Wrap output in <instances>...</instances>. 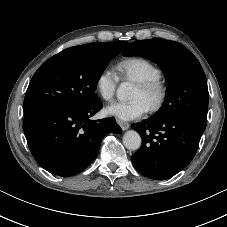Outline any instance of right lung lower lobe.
Wrapping results in <instances>:
<instances>
[{"label":"right lung lower lobe","mask_w":227,"mask_h":227,"mask_svg":"<svg viewBox=\"0 0 227 227\" xmlns=\"http://www.w3.org/2000/svg\"><path fill=\"white\" fill-rule=\"evenodd\" d=\"M101 108L99 99L87 106L49 107L25 115L23 129L36 162L64 177L86 169L96 158L102 138L121 132L114 117L90 120Z\"/></svg>","instance_id":"1"}]
</instances>
